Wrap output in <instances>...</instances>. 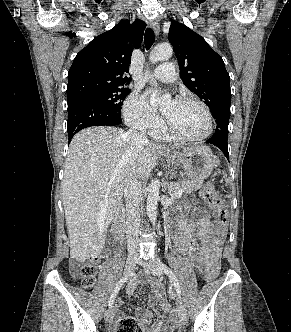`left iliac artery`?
<instances>
[{
	"mask_svg": "<svg viewBox=\"0 0 291 332\" xmlns=\"http://www.w3.org/2000/svg\"><path fill=\"white\" fill-rule=\"evenodd\" d=\"M160 268L169 277L170 281L174 284L176 292H177L179 298H181L180 284H179L178 279L175 276V274L170 270V268L167 265H165L163 263H160Z\"/></svg>",
	"mask_w": 291,
	"mask_h": 332,
	"instance_id": "44dca946",
	"label": "left iliac artery"
}]
</instances>
